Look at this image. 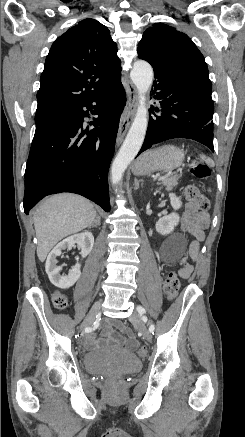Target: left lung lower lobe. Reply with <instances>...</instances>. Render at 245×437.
<instances>
[{"label":"left lung lower lobe","instance_id":"1","mask_svg":"<svg viewBox=\"0 0 245 437\" xmlns=\"http://www.w3.org/2000/svg\"><path fill=\"white\" fill-rule=\"evenodd\" d=\"M153 94L159 100L161 115L149 119V125L140 155L152 145L173 138L196 140L213 147L214 104L211 93L182 79L154 69ZM159 112L158 108L150 109ZM137 155V156H138Z\"/></svg>","mask_w":245,"mask_h":437}]
</instances>
